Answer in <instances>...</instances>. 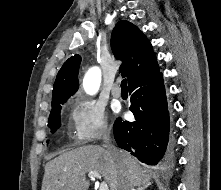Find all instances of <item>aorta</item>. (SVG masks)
Returning <instances> with one entry per match:
<instances>
[{
	"mask_svg": "<svg viewBox=\"0 0 221 190\" xmlns=\"http://www.w3.org/2000/svg\"><path fill=\"white\" fill-rule=\"evenodd\" d=\"M101 82V71L99 68L94 67L91 68L85 75L83 80V87L87 94L93 95L95 94Z\"/></svg>",
	"mask_w": 221,
	"mask_h": 190,
	"instance_id": "aorta-1",
	"label": "aorta"
}]
</instances>
